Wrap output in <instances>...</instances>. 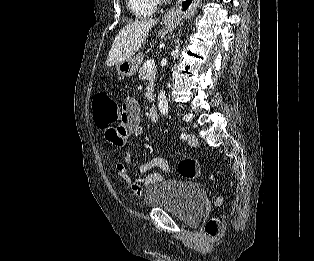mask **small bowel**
I'll return each mask as SVG.
<instances>
[{"mask_svg":"<svg viewBox=\"0 0 314 261\" xmlns=\"http://www.w3.org/2000/svg\"><path fill=\"white\" fill-rule=\"evenodd\" d=\"M145 129L140 124V106L135 98H127L122 105L121 120L119 125L107 126L105 140H109V148H124L126 137L133 138L144 134ZM132 164V157L125 152L123 160L115 164L114 171L130 188L135 198L143 195V189L137 181H141L145 188L162 181V175L153 171L159 168L164 174H170V166L163 157H155L138 166L135 177L128 172V166Z\"/></svg>","mask_w":314,"mask_h":261,"instance_id":"c3829d8e","label":"small bowel"}]
</instances>
